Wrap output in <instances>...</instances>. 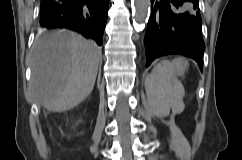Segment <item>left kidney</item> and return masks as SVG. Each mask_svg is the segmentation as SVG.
Here are the masks:
<instances>
[{
	"mask_svg": "<svg viewBox=\"0 0 242 160\" xmlns=\"http://www.w3.org/2000/svg\"><path fill=\"white\" fill-rule=\"evenodd\" d=\"M182 95H183V93L180 95V97L177 99L175 105L172 107L175 112H181L184 109V103L182 101ZM170 108L169 107H160L159 105H156L154 107V113L157 116H160V117L167 116L170 112Z\"/></svg>",
	"mask_w": 242,
	"mask_h": 160,
	"instance_id": "obj_1",
	"label": "left kidney"
}]
</instances>
